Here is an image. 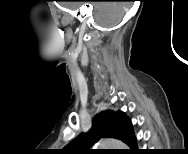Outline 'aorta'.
<instances>
[{"label": "aorta", "instance_id": "obj_1", "mask_svg": "<svg viewBox=\"0 0 188 154\" xmlns=\"http://www.w3.org/2000/svg\"><path fill=\"white\" fill-rule=\"evenodd\" d=\"M98 149H126V145L117 139H101L97 142Z\"/></svg>", "mask_w": 188, "mask_h": 154}]
</instances>
